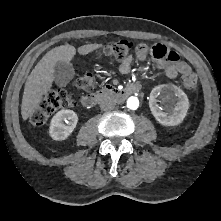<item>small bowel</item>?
<instances>
[{"label": "small bowel", "mask_w": 221, "mask_h": 221, "mask_svg": "<svg viewBox=\"0 0 221 221\" xmlns=\"http://www.w3.org/2000/svg\"><path fill=\"white\" fill-rule=\"evenodd\" d=\"M149 53V47L140 43L136 47V58L139 61H144ZM151 57L157 62V66L162 69L169 79L176 78L179 74L191 73V67L184 61L179 59V56L176 52L168 49L165 45L157 44L151 49ZM132 68V57L122 60L119 66V71L122 74H127L131 71Z\"/></svg>", "instance_id": "1"}]
</instances>
